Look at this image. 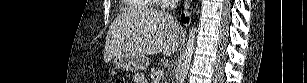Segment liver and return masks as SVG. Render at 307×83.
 Segmentation results:
<instances>
[{
    "label": "liver",
    "instance_id": "1",
    "mask_svg": "<svg viewBox=\"0 0 307 83\" xmlns=\"http://www.w3.org/2000/svg\"><path fill=\"white\" fill-rule=\"evenodd\" d=\"M182 27L170 14L155 10L126 13L116 18L107 33L104 60L118 55L145 57L163 52L170 56L183 40Z\"/></svg>",
    "mask_w": 307,
    "mask_h": 83
}]
</instances>
